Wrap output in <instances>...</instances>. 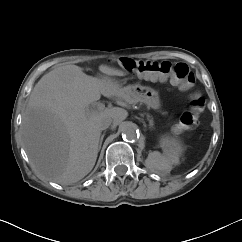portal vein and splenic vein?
<instances>
[{"instance_id": "obj_1", "label": "portal vein and splenic vein", "mask_w": 242, "mask_h": 242, "mask_svg": "<svg viewBox=\"0 0 242 242\" xmlns=\"http://www.w3.org/2000/svg\"><path fill=\"white\" fill-rule=\"evenodd\" d=\"M105 109V105L103 103H100L97 105V108L96 109H87L86 113L87 115H90L94 112H97V111H103Z\"/></svg>"}]
</instances>
